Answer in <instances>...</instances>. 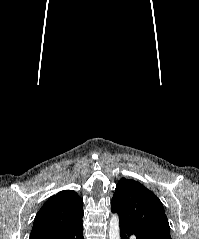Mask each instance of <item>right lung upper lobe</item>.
<instances>
[{"label": "right lung upper lobe", "mask_w": 199, "mask_h": 239, "mask_svg": "<svg viewBox=\"0 0 199 239\" xmlns=\"http://www.w3.org/2000/svg\"><path fill=\"white\" fill-rule=\"evenodd\" d=\"M83 217V201L71 190L50 197L37 213L32 234L52 232L68 227Z\"/></svg>", "instance_id": "cb5924a9"}]
</instances>
